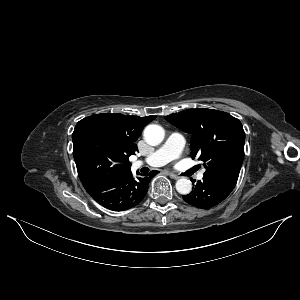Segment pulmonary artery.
I'll return each instance as SVG.
<instances>
[{
  "instance_id": "e3ab8cb5",
  "label": "pulmonary artery",
  "mask_w": 300,
  "mask_h": 300,
  "mask_svg": "<svg viewBox=\"0 0 300 300\" xmlns=\"http://www.w3.org/2000/svg\"><path fill=\"white\" fill-rule=\"evenodd\" d=\"M185 147L184 138L178 133H171L165 143L154 153L143 160H137L133 163V168L137 169L143 165L151 167L163 166L170 161L178 158ZM204 172L197 175L199 180L203 179Z\"/></svg>"
}]
</instances>
